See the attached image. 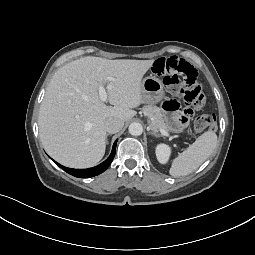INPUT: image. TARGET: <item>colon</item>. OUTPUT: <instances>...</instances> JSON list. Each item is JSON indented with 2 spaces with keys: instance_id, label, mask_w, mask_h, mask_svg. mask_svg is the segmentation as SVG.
I'll return each instance as SVG.
<instances>
[{
  "instance_id": "1",
  "label": "colon",
  "mask_w": 255,
  "mask_h": 255,
  "mask_svg": "<svg viewBox=\"0 0 255 255\" xmlns=\"http://www.w3.org/2000/svg\"><path fill=\"white\" fill-rule=\"evenodd\" d=\"M153 72L164 77V83L173 95H180L186 105L185 116H191L194 109L205 103L201 82L196 69L184 59L177 57L160 58L153 64ZM216 122L214 113H206L196 117L194 130L198 133L213 128Z\"/></svg>"
}]
</instances>
